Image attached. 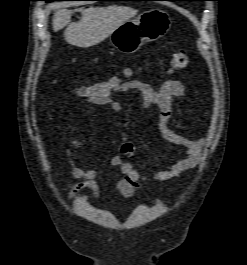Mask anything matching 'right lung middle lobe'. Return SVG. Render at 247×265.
<instances>
[{"instance_id": "1", "label": "right lung middle lobe", "mask_w": 247, "mask_h": 265, "mask_svg": "<svg viewBox=\"0 0 247 265\" xmlns=\"http://www.w3.org/2000/svg\"><path fill=\"white\" fill-rule=\"evenodd\" d=\"M44 1L50 2V1H55V0H44Z\"/></svg>"}]
</instances>
